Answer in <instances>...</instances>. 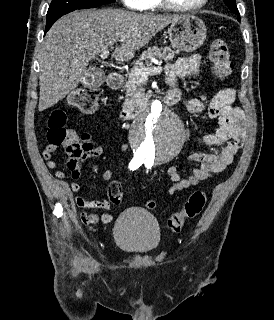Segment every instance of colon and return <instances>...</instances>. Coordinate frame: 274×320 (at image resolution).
Returning a JSON list of instances; mask_svg holds the SVG:
<instances>
[{"label":"colon","instance_id":"5ec220e1","mask_svg":"<svg viewBox=\"0 0 274 320\" xmlns=\"http://www.w3.org/2000/svg\"><path fill=\"white\" fill-rule=\"evenodd\" d=\"M210 62L215 75L220 79H227L232 72V57L228 45L217 40L213 42L209 51ZM99 93L95 88H78L73 90L67 99V106L55 108L47 120V142L57 143L58 149L64 148L73 156L67 163L70 170H76L79 166L78 158L91 149V140L88 133H77L67 124V110L74 108L82 113L95 111L98 105ZM107 189L111 201L120 204L122 201V183L107 182ZM207 201V193L204 190H194L182 207L173 213L167 220V229L172 233H179L186 220L196 218L203 210ZM146 206L149 209L156 208L155 200H148Z\"/></svg>","mask_w":274,"mask_h":320}]
</instances>
